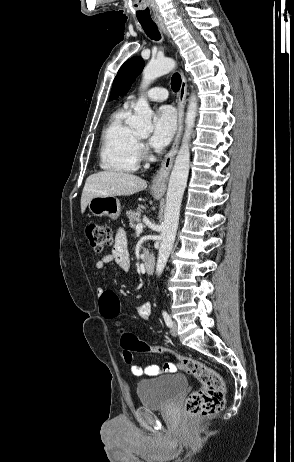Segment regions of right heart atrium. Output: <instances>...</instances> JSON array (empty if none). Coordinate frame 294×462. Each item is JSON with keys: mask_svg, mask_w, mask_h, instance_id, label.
<instances>
[{"mask_svg": "<svg viewBox=\"0 0 294 462\" xmlns=\"http://www.w3.org/2000/svg\"><path fill=\"white\" fill-rule=\"evenodd\" d=\"M138 149L140 156H145L148 153V148L143 142H139Z\"/></svg>", "mask_w": 294, "mask_h": 462, "instance_id": "1", "label": "right heart atrium"}]
</instances>
